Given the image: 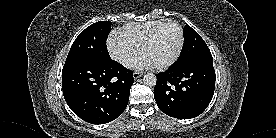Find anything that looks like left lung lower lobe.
<instances>
[{"mask_svg":"<svg viewBox=\"0 0 276 138\" xmlns=\"http://www.w3.org/2000/svg\"><path fill=\"white\" fill-rule=\"evenodd\" d=\"M156 76L154 98L159 109L171 117L194 118L213 97L216 75L212 55L180 66L172 65Z\"/></svg>","mask_w":276,"mask_h":138,"instance_id":"left-lung-lower-lobe-1","label":"left lung lower lobe"}]
</instances>
